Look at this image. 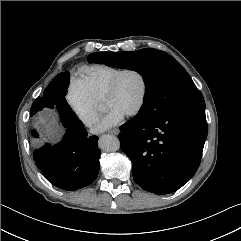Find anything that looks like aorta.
Here are the masks:
<instances>
[{
	"mask_svg": "<svg viewBox=\"0 0 241 241\" xmlns=\"http://www.w3.org/2000/svg\"><path fill=\"white\" fill-rule=\"evenodd\" d=\"M99 146L107 152H114L120 148V142L116 136L103 135L99 139Z\"/></svg>",
	"mask_w": 241,
	"mask_h": 241,
	"instance_id": "obj_1",
	"label": "aorta"
}]
</instances>
